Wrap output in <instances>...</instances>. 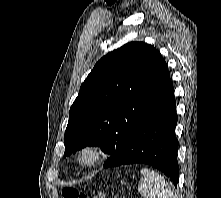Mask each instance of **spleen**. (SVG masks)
I'll return each mask as SVG.
<instances>
[{
	"label": "spleen",
	"instance_id": "spleen-1",
	"mask_svg": "<svg viewBox=\"0 0 221 198\" xmlns=\"http://www.w3.org/2000/svg\"><path fill=\"white\" fill-rule=\"evenodd\" d=\"M138 191L143 198H175L169 183L153 170L142 168Z\"/></svg>",
	"mask_w": 221,
	"mask_h": 198
}]
</instances>
